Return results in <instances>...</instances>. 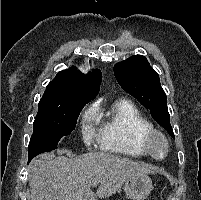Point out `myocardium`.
I'll use <instances>...</instances> for the list:
<instances>
[{
    "label": "myocardium",
    "mask_w": 201,
    "mask_h": 200,
    "mask_svg": "<svg viewBox=\"0 0 201 200\" xmlns=\"http://www.w3.org/2000/svg\"><path fill=\"white\" fill-rule=\"evenodd\" d=\"M156 138H160L164 141L166 146L165 154L162 157H157L154 154L153 142ZM145 144L148 150L149 155L155 160H163L167 157L170 151V142L167 136L158 129H150L145 135Z\"/></svg>",
    "instance_id": "myocardium-1"
}]
</instances>
